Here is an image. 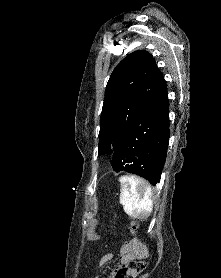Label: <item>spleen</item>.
Returning <instances> with one entry per match:
<instances>
[{"label": "spleen", "mask_w": 221, "mask_h": 278, "mask_svg": "<svg viewBox=\"0 0 221 278\" xmlns=\"http://www.w3.org/2000/svg\"><path fill=\"white\" fill-rule=\"evenodd\" d=\"M119 182L124 212L136 219L148 218L153 211L151 187L135 176H122Z\"/></svg>", "instance_id": "spleen-1"}]
</instances>
